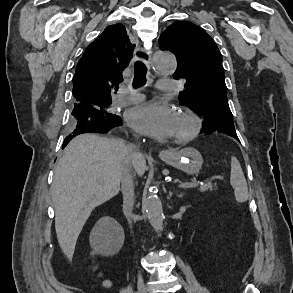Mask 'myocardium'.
Returning a JSON list of instances; mask_svg holds the SVG:
<instances>
[{"label":"myocardium","instance_id":"obj_1","mask_svg":"<svg viewBox=\"0 0 293 293\" xmlns=\"http://www.w3.org/2000/svg\"><path fill=\"white\" fill-rule=\"evenodd\" d=\"M177 117L184 119L189 123V129L182 134L174 136L177 143H185L194 139L201 130V120L199 117L189 110H181L177 113Z\"/></svg>","mask_w":293,"mask_h":293}]
</instances>
